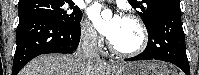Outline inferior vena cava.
I'll list each match as a JSON object with an SVG mask.
<instances>
[{
    "instance_id": "602c4592",
    "label": "inferior vena cava",
    "mask_w": 199,
    "mask_h": 75,
    "mask_svg": "<svg viewBox=\"0 0 199 75\" xmlns=\"http://www.w3.org/2000/svg\"><path fill=\"white\" fill-rule=\"evenodd\" d=\"M78 53L87 60L86 74H91L90 72H92L93 62L100 60L97 46V33L95 30H89L84 33Z\"/></svg>"
}]
</instances>
